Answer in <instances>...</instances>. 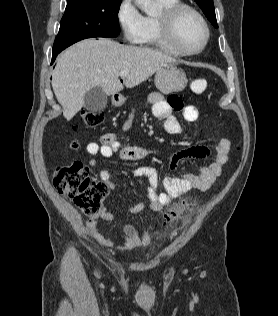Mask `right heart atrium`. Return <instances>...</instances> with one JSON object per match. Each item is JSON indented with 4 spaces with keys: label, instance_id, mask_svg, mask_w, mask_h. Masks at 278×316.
<instances>
[{
    "label": "right heart atrium",
    "instance_id": "obj_1",
    "mask_svg": "<svg viewBox=\"0 0 278 316\" xmlns=\"http://www.w3.org/2000/svg\"><path fill=\"white\" fill-rule=\"evenodd\" d=\"M116 19L123 38L129 43H138L143 30L144 16L133 0H120Z\"/></svg>",
    "mask_w": 278,
    "mask_h": 316
}]
</instances>
